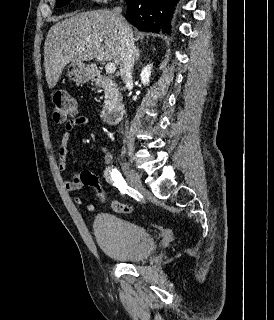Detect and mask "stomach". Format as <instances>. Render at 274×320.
Instances as JSON below:
<instances>
[{
    "label": "stomach",
    "mask_w": 274,
    "mask_h": 320,
    "mask_svg": "<svg viewBox=\"0 0 274 320\" xmlns=\"http://www.w3.org/2000/svg\"><path fill=\"white\" fill-rule=\"evenodd\" d=\"M72 70L70 72V76H72L74 82H78V84H84V82H89L92 80L95 74L94 66L91 64H82V62H73L70 64Z\"/></svg>",
    "instance_id": "0dacf381"
}]
</instances>
